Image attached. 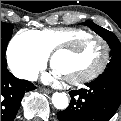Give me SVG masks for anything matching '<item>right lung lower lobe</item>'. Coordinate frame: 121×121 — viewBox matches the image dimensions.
<instances>
[{
	"mask_svg": "<svg viewBox=\"0 0 121 121\" xmlns=\"http://www.w3.org/2000/svg\"><path fill=\"white\" fill-rule=\"evenodd\" d=\"M6 67L5 56H1V121H13L25 91L36 87L31 82L14 77Z\"/></svg>",
	"mask_w": 121,
	"mask_h": 121,
	"instance_id": "1",
	"label": "right lung lower lobe"
}]
</instances>
